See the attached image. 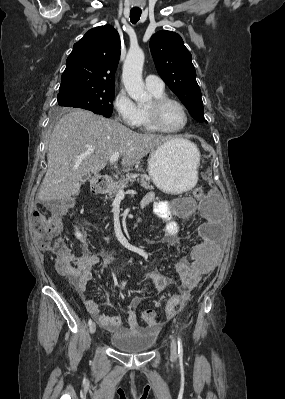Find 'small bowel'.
<instances>
[{
    "label": "small bowel",
    "instance_id": "1",
    "mask_svg": "<svg viewBox=\"0 0 285 399\" xmlns=\"http://www.w3.org/2000/svg\"><path fill=\"white\" fill-rule=\"evenodd\" d=\"M153 206L154 214L164 222L162 243L172 250H179L183 241L180 235V227L174 219V215L169 209L168 201L157 199L153 192H148L142 199V208ZM204 219V223L198 231V243L190 249L189 258L181 257L172 263V273L177 276L183 289L173 294L168 304H184L190 297L192 291L207 276L210 270L217 262L219 255V245L216 241V227L218 221L213 207L209 205H199L196 210ZM192 213H185L183 216H189ZM77 234V231H74ZM100 262L97 257L76 256L75 266L80 274L78 287L85 290L87 283L92 279L93 268ZM142 274L148 278L157 292H163L170 285L172 276L160 270L144 271ZM139 299H133L129 304V313L127 316V328L122 326L120 317L115 315H105L96 301L87 299L85 302L87 311L93 316L97 323L110 333L121 334L126 331H133L138 328V321L135 309L139 304ZM170 317V316H169Z\"/></svg>",
    "mask_w": 285,
    "mask_h": 399
}]
</instances>
